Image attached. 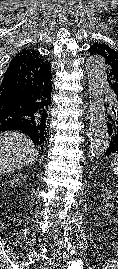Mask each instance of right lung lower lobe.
<instances>
[{"mask_svg": "<svg viewBox=\"0 0 118 269\" xmlns=\"http://www.w3.org/2000/svg\"><path fill=\"white\" fill-rule=\"evenodd\" d=\"M36 98L35 92L1 91L0 132L7 130L23 132L43 150L46 131H38L36 125Z\"/></svg>", "mask_w": 118, "mask_h": 269, "instance_id": "1", "label": "right lung lower lobe"}]
</instances>
